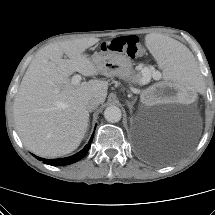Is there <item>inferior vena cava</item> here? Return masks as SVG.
<instances>
[{
    "label": "inferior vena cava",
    "mask_w": 215,
    "mask_h": 215,
    "mask_svg": "<svg viewBox=\"0 0 215 215\" xmlns=\"http://www.w3.org/2000/svg\"><path fill=\"white\" fill-rule=\"evenodd\" d=\"M101 103V101L98 98H92L87 101L86 108L90 112L98 107V105Z\"/></svg>",
    "instance_id": "602c4592"
}]
</instances>
